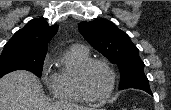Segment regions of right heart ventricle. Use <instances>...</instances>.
Returning <instances> with one entry per match:
<instances>
[{
  "mask_svg": "<svg viewBox=\"0 0 171 110\" xmlns=\"http://www.w3.org/2000/svg\"><path fill=\"white\" fill-rule=\"evenodd\" d=\"M90 60L89 51L79 45L69 47L60 58V66L49 80L53 98L61 102L84 103L87 101L78 91L76 76L81 66Z\"/></svg>",
  "mask_w": 171,
  "mask_h": 110,
  "instance_id": "obj_1",
  "label": "right heart ventricle"
}]
</instances>
